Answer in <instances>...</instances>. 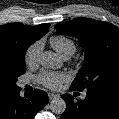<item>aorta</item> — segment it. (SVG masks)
<instances>
[{"instance_id": "762f6f07", "label": "aorta", "mask_w": 119, "mask_h": 119, "mask_svg": "<svg viewBox=\"0 0 119 119\" xmlns=\"http://www.w3.org/2000/svg\"><path fill=\"white\" fill-rule=\"evenodd\" d=\"M40 63L47 69H58L62 66V60L54 52H44ZM50 109L55 114H62L66 110V103L61 97H55L50 102Z\"/></svg>"}]
</instances>
